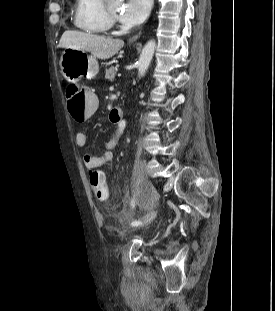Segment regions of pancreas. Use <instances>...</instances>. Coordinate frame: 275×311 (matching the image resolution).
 <instances>
[{
	"instance_id": "obj_1",
	"label": "pancreas",
	"mask_w": 275,
	"mask_h": 311,
	"mask_svg": "<svg viewBox=\"0 0 275 311\" xmlns=\"http://www.w3.org/2000/svg\"><path fill=\"white\" fill-rule=\"evenodd\" d=\"M115 73H116V68L110 67L108 70H106L105 79L112 81L115 77Z\"/></svg>"
}]
</instances>
